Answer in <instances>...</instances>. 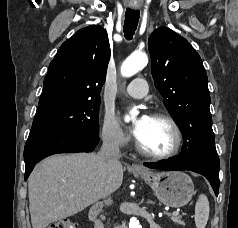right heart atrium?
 Here are the masks:
<instances>
[{
    "mask_svg": "<svg viewBox=\"0 0 238 228\" xmlns=\"http://www.w3.org/2000/svg\"><path fill=\"white\" fill-rule=\"evenodd\" d=\"M100 136L105 144L112 147L121 148L128 142L115 114L109 110L104 113Z\"/></svg>",
    "mask_w": 238,
    "mask_h": 228,
    "instance_id": "d8ad5b80",
    "label": "right heart atrium"
}]
</instances>
